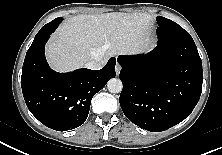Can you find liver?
Segmentation results:
<instances>
[{
  "label": "liver",
  "instance_id": "6515ba94",
  "mask_svg": "<svg viewBox=\"0 0 222 155\" xmlns=\"http://www.w3.org/2000/svg\"><path fill=\"white\" fill-rule=\"evenodd\" d=\"M153 18L147 13L77 15L65 21L46 46L50 66L68 72L96 60L138 53L149 46Z\"/></svg>",
  "mask_w": 222,
  "mask_h": 155
}]
</instances>
